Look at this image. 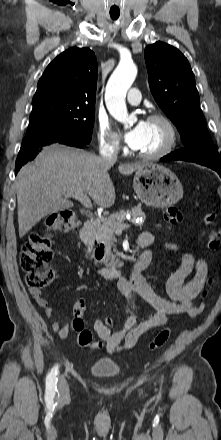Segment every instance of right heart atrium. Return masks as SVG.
<instances>
[{"label":"right heart atrium","instance_id":"obj_1","mask_svg":"<svg viewBox=\"0 0 221 440\" xmlns=\"http://www.w3.org/2000/svg\"><path fill=\"white\" fill-rule=\"evenodd\" d=\"M99 146L105 153L114 154L121 150V140L108 119L98 116L95 122Z\"/></svg>","mask_w":221,"mask_h":440}]
</instances>
